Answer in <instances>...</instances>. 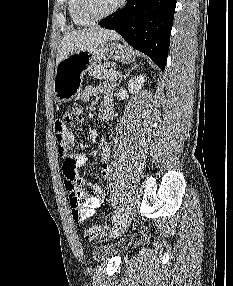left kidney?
I'll use <instances>...</instances> for the list:
<instances>
[{
  "label": "left kidney",
  "mask_w": 233,
  "mask_h": 286,
  "mask_svg": "<svg viewBox=\"0 0 233 286\" xmlns=\"http://www.w3.org/2000/svg\"><path fill=\"white\" fill-rule=\"evenodd\" d=\"M144 76L140 75L139 77H134L131 80H129L128 88L130 93L136 94L138 91L144 86Z\"/></svg>",
  "instance_id": "left-kidney-1"
}]
</instances>
